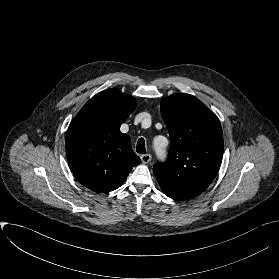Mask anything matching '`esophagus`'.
<instances>
[{
    "instance_id": "34e87169",
    "label": "esophagus",
    "mask_w": 279,
    "mask_h": 279,
    "mask_svg": "<svg viewBox=\"0 0 279 279\" xmlns=\"http://www.w3.org/2000/svg\"><path fill=\"white\" fill-rule=\"evenodd\" d=\"M140 158H141V161L146 164L151 160V155L150 154H144V155H141Z\"/></svg>"
}]
</instances>
